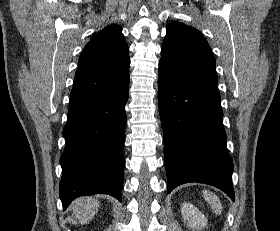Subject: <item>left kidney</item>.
<instances>
[{"label":"left kidney","mask_w":280,"mask_h":231,"mask_svg":"<svg viewBox=\"0 0 280 231\" xmlns=\"http://www.w3.org/2000/svg\"><path fill=\"white\" fill-rule=\"evenodd\" d=\"M181 213L184 221H186L189 227H192L193 231L195 229H202V227H207V219L204 217L202 211H199L193 203L189 201H184L181 205Z\"/></svg>","instance_id":"1"}]
</instances>
